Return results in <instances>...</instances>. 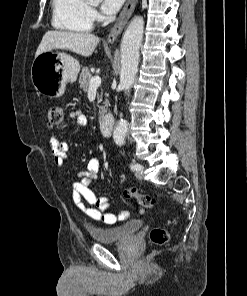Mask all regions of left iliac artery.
<instances>
[{
  "mask_svg": "<svg viewBox=\"0 0 247 296\" xmlns=\"http://www.w3.org/2000/svg\"><path fill=\"white\" fill-rule=\"evenodd\" d=\"M130 168L132 170H136L137 171V170H139L141 168V166L139 164H137V163H134V164H131Z\"/></svg>",
  "mask_w": 247,
  "mask_h": 296,
  "instance_id": "obj_1",
  "label": "left iliac artery"
}]
</instances>
